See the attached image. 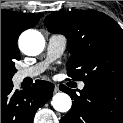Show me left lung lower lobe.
Masks as SVG:
<instances>
[{"instance_id": "0a47b994", "label": "left lung lower lobe", "mask_w": 123, "mask_h": 123, "mask_svg": "<svg viewBox=\"0 0 123 123\" xmlns=\"http://www.w3.org/2000/svg\"><path fill=\"white\" fill-rule=\"evenodd\" d=\"M60 90L74 100L61 123H123V84L88 82L82 90Z\"/></svg>"}]
</instances>
